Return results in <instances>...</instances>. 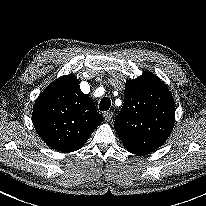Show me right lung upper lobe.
Instances as JSON below:
<instances>
[{
	"instance_id": "obj_1",
	"label": "right lung upper lobe",
	"mask_w": 206,
	"mask_h": 206,
	"mask_svg": "<svg viewBox=\"0 0 206 206\" xmlns=\"http://www.w3.org/2000/svg\"><path fill=\"white\" fill-rule=\"evenodd\" d=\"M33 123L39 136L55 150L69 153L83 147L102 121L93 101L72 74L52 82L38 97Z\"/></svg>"
}]
</instances>
